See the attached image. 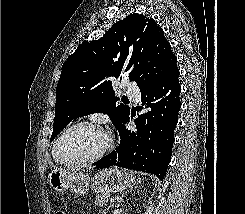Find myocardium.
<instances>
[{
	"mask_svg": "<svg viewBox=\"0 0 245 214\" xmlns=\"http://www.w3.org/2000/svg\"><path fill=\"white\" fill-rule=\"evenodd\" d=\"M80 126H91L97 130H99L105 137V145L103 148L96 153L95 155L83 159H75V160H62L57 155V148L61 141V139L72 129L80 127ZM113 148V138L110 135V133L98 122L93 120H81L78 122H75L74 124L67 127L54 141L53 147H52V155L54 159L65 166H79V165H85V164H91L95 163L99 160H101L104 156H106L111 149Z\"/></svg>",
	"mask_w": 245,
	"mask_h": 214,
	"instance_id": "myocardium-1",
	"label": "myocardium"
}]
</instances>
